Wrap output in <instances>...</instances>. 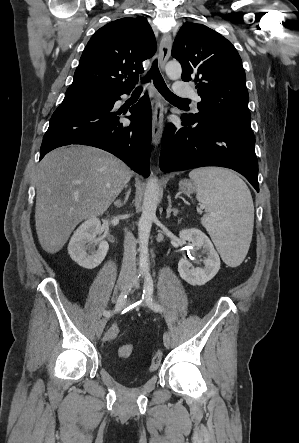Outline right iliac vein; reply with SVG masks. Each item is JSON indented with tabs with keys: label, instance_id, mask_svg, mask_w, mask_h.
Masks as SVG:
<instances>
[{
	"label": "right iliac vein",
	"instance_id": "obj_1",
	"mask_svg": "<svg viewBox=\"0 0 299 443\" xmlns=\"http://www.w3.org/2000/svg\"><path fill=\"white\" fill-rule=\"evenodd\" d=\"M130 281L129 276H121L118 280V287L120 290H124ZM106 325V318H103L99 321L97 327H96V336L99 338L102 335V332L104 330V327Z\"/></svg>",
	"mask_w": 299,
	"mask_h": 443
}]
</instances>
